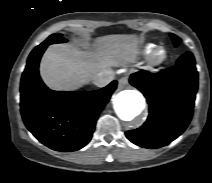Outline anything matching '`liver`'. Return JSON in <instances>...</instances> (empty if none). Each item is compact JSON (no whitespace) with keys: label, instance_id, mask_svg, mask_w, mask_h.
Listing matches in <instances>:
<instances>
[{"label":"liver","instance_id":"obj_1","mask_svg":"<svg viewBox=\"0 0 212 183\" xmlns=\"http://www.w3.org/2000/svg\"><path fill=\"white\" fill-rule=\"evenodd\" d=\"M95 47L96 52L67 44L49 46L40 64V74L45 84L58 91L77 90L107 65L132 62L138 53L137 38L133 35L100 37Z\"/></svg>","mask_w":212,"mask_h":183}]
</instances>
